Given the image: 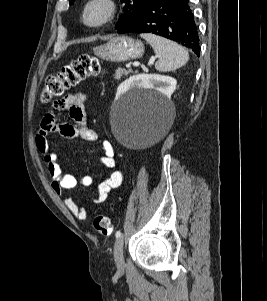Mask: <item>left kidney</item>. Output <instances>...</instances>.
Wrapping results in <instances>:
<instances>
[{
  "mask_svg": "<svg viewBox=\"0 0 267 301\" xmlns=\"http://www.w3.org/2000/svg\"><path fill=\"white\" fill-rule=\"evenodd\" d=\"M176 79L157 74H139L130 77L121 83L117 89L116 98L121 97L133 87L141 89L154 90L170 98L176 89Z\"/></svg>",
  "mask_w": 267,
  "mask_h": 301,
  "instance_id": "5707ae66",
  "label": "left kidney"
}]
</instances>
